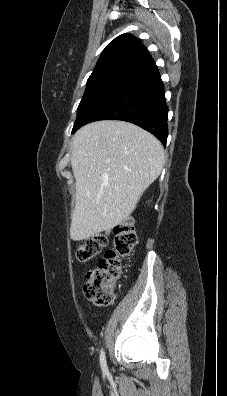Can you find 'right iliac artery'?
<instances>
[{"label":"right iliac artery","mask_w":227,"mask_h":396,"mask_svg":"<svg viewBox=\"0 0 227 396\" xmlns=\"http://www.w3.org/2000/svg\"><path fill=\"white\" fill-rule=\"evenodd\" d=\"M100 365L104 373L108 372L104 350L100 351Z\"/></svg>","instance_id":"obj_1"}]
</instances>
